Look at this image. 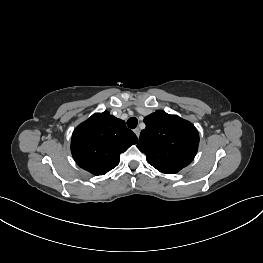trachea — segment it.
Returning a JSON list of instances; mask_svg holds the SVG:
<instances>
[{"label":"trachea","mask_w":263,"mask_h":263,"mask_svg":"<svg viewBox=\"0 0 263 263\" xmlns=\"http://www.w3.org/2000/svg\"><path fill=\"white\" fill-rule=\"evenodd\" d=\"M137 124H138V120H137V118H135V117H131V118H129L128 121H127V126H128L129 128H131V129L136 128V127H137Z\"/></svg>","instance_id":"trachea-1"}]
</instances>
